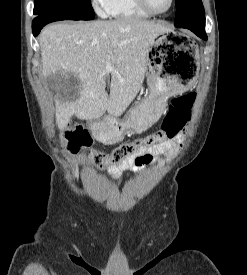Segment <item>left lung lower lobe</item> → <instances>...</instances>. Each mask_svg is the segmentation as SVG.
<instances>
[{"mask_svg": "<svg viewBox=\"0 0 247 275\" xmlns=\"http://www.w3.org/2000/svg\"><path fill=\"white\" fill-rule=\"evenodd\" d=\"M179 28H187L195 33L198 37L203 40H207V35L205 33V28H191V27H179Z\"/></svg>", "mask_w": 247, "mask_h": 275, "instance_id": "obj_1", "label": "left lung lower lobe"}]
</instances>
